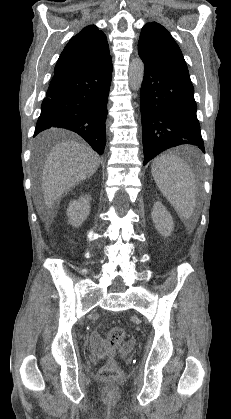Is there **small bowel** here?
<instances>
[{
    "label": "small bowel",
    "mask_w": 231,
    "mask_h": 419,
    "mask_svg": "<svg viewBox=\"0 0 231 419\" xmlns=\"http://www.w3.org/2000/svg\"><path fill=\"white\" fill-rule=\"evenodd\" d=\"M92 337H93V341L98 345V341H99L98 334L93 333Z\"/></svg>",
    "instance_id": "obj_1"
}]
</instances>
